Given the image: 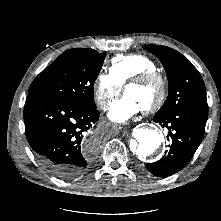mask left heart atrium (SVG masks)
Returning a JSON list of instances; mask_svg holds the SVG:
<instances>
[{"mask_svg":"<svg viewBox=\"0 0 221 221\" xmlns=\"http://www.w3.org/2000/svg\"><path fill=\"white\" fill-rule=\"evenodd\" d=\"M141 110L139 103L125 94L110 105L108 117L114 122L123 123L135 117Z\"/></svg>","mask_w":221,"mask_h":221,"instance_id":"39dd6f15","label":"left heart atrium"}]
</instances>
